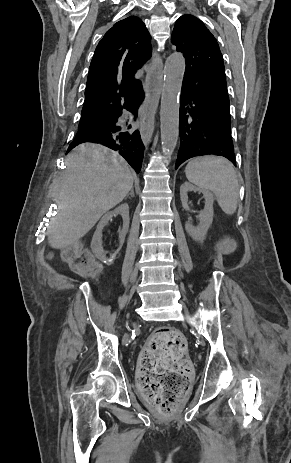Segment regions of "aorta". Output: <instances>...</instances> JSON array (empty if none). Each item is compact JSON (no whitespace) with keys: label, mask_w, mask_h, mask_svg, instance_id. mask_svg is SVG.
<instances>
[{"label":"aorta","mask_w":291,"mask_h":463,"mask_svg":"<svg viewBox=\"0 0 291 463\" xmlns=\"http://www.w3.org/2000/svg\"><path fill=\"white\" fill-rule=\"evenodd\" d=\"M165 82L161 97L160 129L165 155L170 156L179 134V95L185 72V60L181 54L171 55L165 65Z\"/></svg>","instance_id":"aorta-1"}]
</instances>
